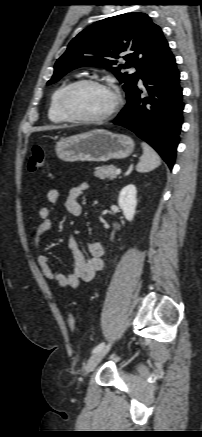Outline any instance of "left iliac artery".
<instances>
[{"label": "left iliac artery", "mask_w": 202, "mask_h": 437, "mask_svg": "<svg viewBox=\"0 0 202 437\" xmlns=\"http://www.w3.org/2000/svg\"><path fill=\"white\" fill-rule=\"evenodd\" d=\"M104 346H105V343H104V342H101V343L98 344L96 347H94V349L92 350V352L95 353V352H97V351L103 349Z\"/></svg>", "instance_id": "obj_1"}]
</instances>
